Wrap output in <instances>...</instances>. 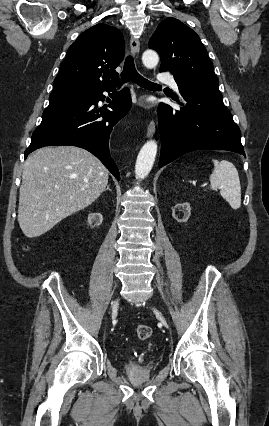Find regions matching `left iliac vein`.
Listing matches in <instances>:
<instances>
[{"instance_id": "obj_1", "label": "left iliac vein", "mask_w": 269, "mask_h": 426, "mask_svg": "<svg viewBox=\"0 0 269 426\" xmlns=\"http://www.w3.org/2000/svg\"><path fill=\"white\" fill-rule=\"evenodd\" d=\"M156 314H157L159 320L161 321V323L166 327L167 326V322H166V319L163 316V314L160 311H158V310H156Z\"/></svg>"}]
</instances>
